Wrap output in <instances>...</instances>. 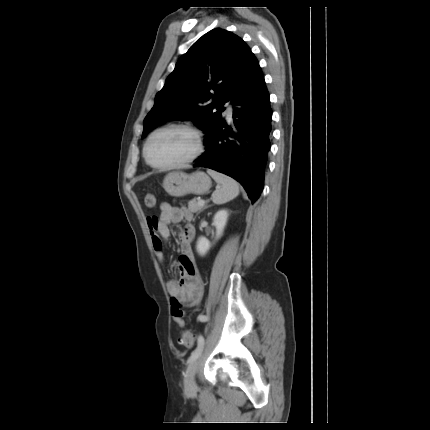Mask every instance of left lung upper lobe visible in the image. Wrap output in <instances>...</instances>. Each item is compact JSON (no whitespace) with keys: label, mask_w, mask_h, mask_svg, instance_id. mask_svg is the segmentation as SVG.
<instances>
[{"label":"left lung upper lobe","mask_w":430,"mask_h":430,"mask_svg":"<svg viewBox=\"0 0 430 430\" xmlns=\"http://www.w3.org/2000/svg\"><path fill=\"white\" fill-rule=\"evenodd\" d=\"M259 67L240 37L220 28L209 31L180 57L156 94L144 119L143 135L176 118H192L207 134L220 119L224 104L246 91Z\"/></svg>","instance_id":"1"}]
</instances>
